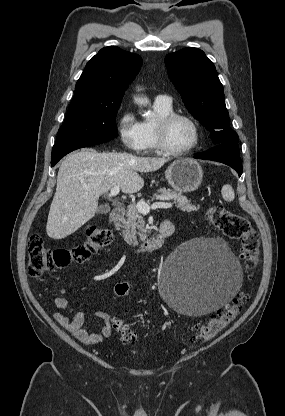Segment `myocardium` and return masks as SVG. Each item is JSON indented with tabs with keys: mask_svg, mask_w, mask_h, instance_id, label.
<instances>
[{
	"mask_svg": "<svg viewBox=\"0 0 285 416\" xmlns=\"http://www.w3.org/2000/svg\"><path fill=\"white\" fill-rule=\"evenodd\" d=\"M176 119H184L188 121L194 130L193 144L189 148L185 150H181V151L173 150L172 148L169 147L166 141L167 130L169 126L171 125V123ZM155 138H156L157 148L163 154L167 156H172V157L187 156L193 153L200 145V141H201L200 127L197 121L190 115L185 114V113L171 112L157 119L156 124H155Z\"/></svg>",
	"mask_w": 285,
	"mask_h": 416,
	"instance_id": "1",
	"label": "myocardium"
}]
</instances>
